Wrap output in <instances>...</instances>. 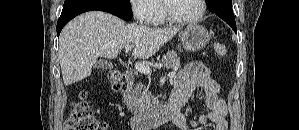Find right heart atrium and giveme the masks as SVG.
I'll return each instance as SVG.
<instances>
[{
  "mask_svg": "<svg viewBox=\"0 0 299 130\" xmlns=\"http://www.w3.org/2000/svg\"><path fill=\"white\" fill-rule=\"evenodd\" d=\"M155 1V0H154ZM153 0H132L131 9L134 18L139 22H148L151 19V4Z\"/></svg>",
  "mask_w": 299,
  "mask_h": 130,
  "instance_id": "d8ad5b80",
  "label": "right heart atrium"
}]
</instances>
